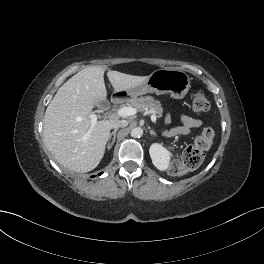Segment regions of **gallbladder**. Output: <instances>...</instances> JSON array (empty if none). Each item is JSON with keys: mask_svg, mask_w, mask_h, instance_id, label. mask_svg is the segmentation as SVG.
<instances>
[{"mask_svg": "<svg viewBox=\"0 0 264 264\" xmlns=\"http://www.w3.org/2000/svg\"><path fill=\"white\" fill-rule=\"evenodd\" d=\"M107 104V102L105 101V102H100L98 105H106Z\"/></svg>", "mask_w": 264, "mask_h": 264, "instance_id": "1", "label": "gallbladder"}]
</instances>
